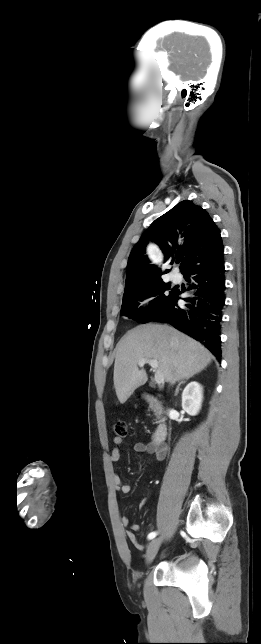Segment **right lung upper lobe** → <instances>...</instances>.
<instances>
[{"label": "right lung upper lobe", "mask_w": 261, "mask_h": 644, "mask_svg": "<svg viewBox=\"0 0 261 644\" xmlns=\"http://www.w3.org/2000/svg\"><path fill=\"white\" fill-rule=\"evenodd\" d=\"M149 240L162 250L165 262L178 259L181 272L188 267L211 263L223 256L220 229L208 212L184 200L156 219L133 247L127 264L125 288L160 281L162 272L145 255Z\"/></svg>", "instance_id": "cb5924a9"}]
</instances>
